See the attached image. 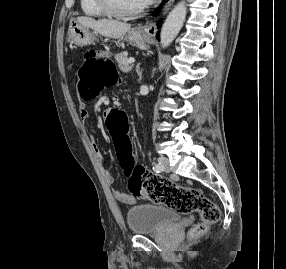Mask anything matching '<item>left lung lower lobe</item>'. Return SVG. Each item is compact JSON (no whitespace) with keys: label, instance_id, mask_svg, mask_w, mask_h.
<instances>
[{"label":"left lung lower lobe","instance_id":"1","mask_svg":"<svg viewBox=\"0 0 286 269\" xmlns=\"http://www.w3.org/2000/svg\"><path fill=\"white\" fill-rule=\"evenodd\" d=\"M161 7L155 10V14H157L160 11ZM161 25V20L158 22V27ZM157 39H159V33L157 34Z\"/></svg>","mask_w":286,"mask_h":269}]
</instances>
